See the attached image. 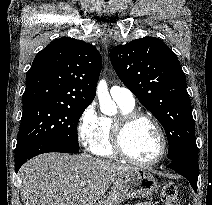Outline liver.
<instances>
[{"label":"liver","instance_id":"liver-1","mask_svg":"<svg viewBox=\"0 0 212 205\" xmlns=\"http://www.w3.org/2000/svg\"><path fill=\"white\" fill-rule=\"evenodd\" d=\"M135 169L86 155L42 154L19 170L21 199L24 205H96L113 182Z\"/></svg>","mask_w":212,"mask_h":205}]
</instances>
